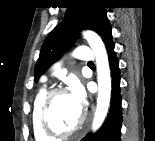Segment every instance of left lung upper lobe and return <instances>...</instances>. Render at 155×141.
I'll return each mask as SVG.
<instances>
[{
    "label": "left lung upper lobe",
    "instance_id": "obj_1",
    "mask_svg": "<svg viewBox=\"0 0 155 141\" xmlns=\"http://www.w3.org/2000/svg\"><path fill=\"white\" fill-rule=\"evenodd\" d=\"M65 19L44 41L34 69L35 81L64 53L72 39L82 30L97 32L105 42L111 34V24L100 0H76L67 7Z\"/></svg>",
    "mask_w": 155,
    "mask_h": 141
}]
</instances>
